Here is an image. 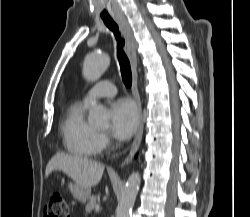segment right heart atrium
Here are the masks:
<instances>
[{"instance_id": "right-heart-atrium-1", "label": "right heart atrium", "mask_w": 250, "mask_h": 217, "mask_svg": "<svg viewBox=\"0 0 250 217\" xmlns=\"http://www.w3.org/2000/svg\"><path fill=\"white\" fill-rule=\"evenodd\" d=\"M110 139L106 134L99 133L98 134V148L99 151H104L110 147Z\"/></svg>"}]
</instances>
